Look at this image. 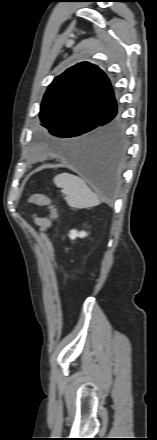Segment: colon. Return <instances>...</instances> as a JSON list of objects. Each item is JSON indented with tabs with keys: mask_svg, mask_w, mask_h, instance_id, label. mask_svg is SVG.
Listing matches in <instances>:
<instances>
[{
	"mask_svg": "<svg viewBox=\"0 0 157 440\" xmlns=\"http://www.w3.org/2000/svg\"><path fill=\"white\" fill-rule=\"evenodd\" d=\"M29 202L37 205V206H47L50 208L51 211V219H55L57 217V209L56 207L52 204V201L49 197L43 195V194H33L30 196L29 198ZM46 228H42L43 231H45ZM43 244H44V250L45 253L49 259V261L51 262L53 268L58 272L59 271V267L58 264L56 262L55 256H54V248L52 245V241L51 238L46 236L44 234V238H43ZM61 294H64V283H61Z\"/></svg>",
	"mask_w": 157,
	"mask_h": 440,
	"instance_id": "5ec220e1",
	"label": "colon"
}]
</instances>
